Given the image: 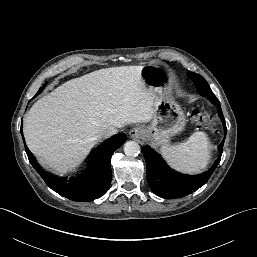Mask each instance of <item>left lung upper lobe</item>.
<instances>
[{
  "label": "left lung upper lobe",
  "mask_w": 257,
  "mask_h": 257,
  "mask_svg": "<svg viewBox=\"0 0 257 257\" xmlns=\"http://www.w3.org/2000/svg\"><path fill=\"white\" fill-rule=\"evenodd\" d=\"M188 76L194 81L196 88L200 92V94L206 96L209 100H211L216 106L220 105L219 100L211 91L210 86L207 81L200 75L188 72Z\"/></svg>",
  "instance_id": "5c2ea615"
}]
</instances>
